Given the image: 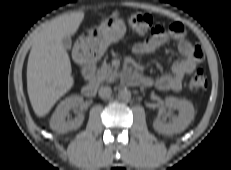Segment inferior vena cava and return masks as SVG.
I'll list each match as a JSON object with an SVG mask.
<instances>
[{
    "mask_svg": "<svg viewBox=\"0 0 231 170\" xmlns=\"http://www.w3.org/2000/svg\"><path fill=\"white\" fill-rule=\"evenodd\" d=\"M112 90L109 86L100 87L99 96L103 99L109 98L111 96Z\"/></svg>",
    "mask_w": 231,
    "mask_h": 170,
    "instance_id": "1",
    "label": "inferior vena cava"
}]
</instances>
